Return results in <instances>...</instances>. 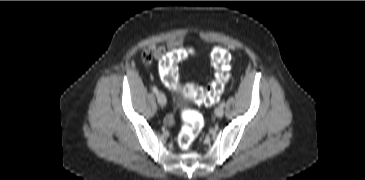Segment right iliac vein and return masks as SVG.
I'll return each instance as SVG.
<instances>
[{
  "label": "right iliac vein",
  "mask_w": 365,
  "mask_h": 180,
  "mask_svg": "<svg viewBox=\"0 0 365 180\" xmlns=\"http://www.w3.org/2000/svg\"><path fill=\"white\" fill-rule=\"evenodd\" d=\"M157 101L161 106H165L167 103L166 97L162 92H158Z\"/></svg>",
  "instance_id": "1"
}]
</instances>
